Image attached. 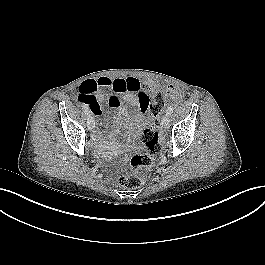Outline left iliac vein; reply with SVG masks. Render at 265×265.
<instances>
[{"mask_svg":"<svg viewBox=\"0 0 265 265\" xmlns=\"http://www.w3.org/2000/svg\"><path fill=\"white\" fill-rule=\"evenodd\" d=\"M170 125V118L169 115H164V117L162 118V127L164 129H168Z\"/></svg>","mask_w":265,"mask_h":265,"instance_id":"obj_1","label":"left iliac vein"}]
</instances>
